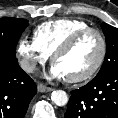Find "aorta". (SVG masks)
<instances>
[{
	"instance_id": "obj_1",
	"label": "aorta",
	"mask_w": 118,
	"mask_h": 118,
	"mask_svg": "<svg viewBox=\"0 0 118 118\" xmlns=\"http://www.w3.org/2000/svg\"><path fill=\"white\" fill-rule=\"evenodd\" d=\"M51 99L57 106H64L68 103V95L63 90H55L51 93Z\"/></svg>"
}]
</instances>
